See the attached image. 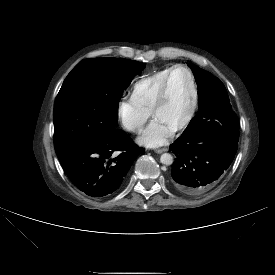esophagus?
<instances>
[{
  "label": "esophagus",
  "mask_w": 275,
  "mask_h": 275,
  "mask_svg": "<svg viewBox=\"0 0 275 275\" xmlns=\"http://www.w3.org/2000/svg\"><path fill=\"white\" fill-rule=\"evenodd\" d=\"M167 150H168L167 148L156 149V150H155V153L161 154V153H163V152H166Z\"/></svg>",
  "instance_id": "34e87169"
}]
</instances>
